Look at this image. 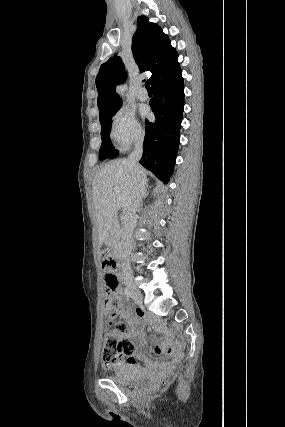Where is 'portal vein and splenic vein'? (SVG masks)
<instances>
[{
  "instance_id": "1",
  "label": "portal vein and splenic vein",
  "mask_w": 285,
  "mask_h": 427,
  "mask_svg": "<svg viewBox=\"0 0 285 427\" xmlns=\"http://www.w3.org/2000/svg\"><path fill=\"white\" fill-rule=\"evenodd\" d=\"M117 204L118 206H124V200L120 195L117 197Z\"/></svg>"
}]
</instances>
